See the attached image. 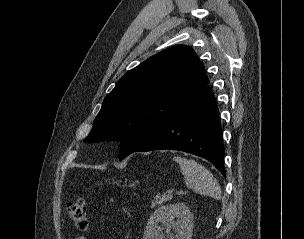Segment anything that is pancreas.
I'll use <instances>...</instances> for the list:
<instances>
[{"instance_id": "pancreas-1", "label": "pancreas", "mask_w": 304, "mask_h": 239, "mask_svg": "<svg viewBox=\"0 0 304 239\" xmlns=\"http://www.w3.org/2000/svg\"><path fill=\"white\" fill-rule=\"evenodd\" d=\"M170 199H171V197L168 196V195H164V196H162V197L156 196V197L154 198V200L152 201V207H154V206L157 205V204H158V205H161V204H163V203L169 201Z\"/></svg>"}]
</instances>
